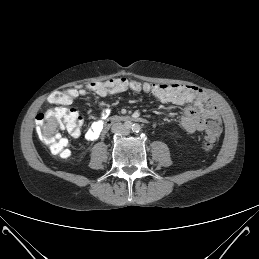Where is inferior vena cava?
<instances>
[{
    "mask_svg": "<svg viewBox=\"0 0 259 259\" xmlns=\"http://www.w3.org/2000/svg\"><path fill=\"white\" fill-rule=\"evenodd\" d=\"M111 131L114 134H120V135H127L129 133L128 130L121 123L113 124V126L111 127Z\"/></svg>",
    "mask_w": 259,
    "mask_h": 259,
    "instance_id": "obj_1",
    "label": "inferior vena cava"
}]
</instances>
